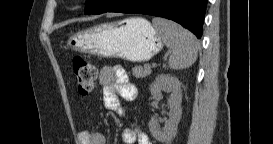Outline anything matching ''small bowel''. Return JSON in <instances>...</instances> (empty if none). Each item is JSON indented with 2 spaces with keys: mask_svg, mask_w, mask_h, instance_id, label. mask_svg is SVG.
<instances>
[{
  "mask_svg": "<svg viewBox=\"0 0 273 144\" xmlns=\"http://www.w3.org/2000/svg\"><path fill=\"white\" fill-rule=\"evenodd\" d=\"M99 81L103 87L105 106L121 117L127 118L121 103L133 101L136 98V90L130 83L125 70L118 66L103 67L100 70ZM77 138L79 144H106L107 142L105 134L98 131L83 130L78 133ZM121 140L125 144H151L149 137L137 127L123 130Z\"/></svg>",
  "mask_w": 273,
  "mask_h": 144,
  "instance_id": "obj_1",
  "label": "small bowel"
}]
</instances>
